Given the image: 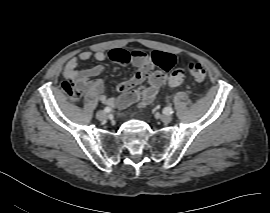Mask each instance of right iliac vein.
Segmentation results:
<instances>
[{
	"label": "right iliac vein",
	"mask_w": 270,
	"mask_h": 213,
	"mask_svg": "<svg viewBox=\"0 0 270 213\" xmlns=\"http://www.w3.org/2000/svg\"><path fill=\"white\" fill-rule=\"evenodd\" d=\"M96 117H97L98 120L103 121V120L106 119L107 115H106L105 111L99 110V111L96 113Z\"/></svg>",
	"instance_id": "1"
}]
</instances>
